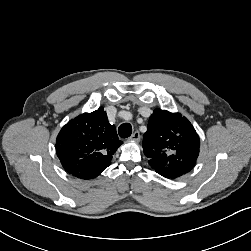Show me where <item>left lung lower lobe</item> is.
<instances>
[{"instance_id":"1","label":"left lung lower lobe","mask_w":251,"mask_h":251,"mask_svg":"<svg viewBox=\"0 0 251 251\" xmlns=\"http://www.w3.org/2000/svg\"><path fill=\"white\" fill-rule=\"evenodd\" d=\"M156 172L166 178H176V177H179L183 174H186L187 172H189L191 169H188V170H185L184 172H176L174 170H171L169 168H165V167H159V168H156L155 169Z\"/></svg>"}]
</instances>
